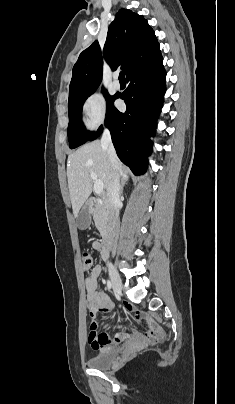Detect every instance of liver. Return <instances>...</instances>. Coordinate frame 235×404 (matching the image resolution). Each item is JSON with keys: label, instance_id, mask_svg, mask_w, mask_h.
Instances as JSON below:
<instances>
[{"label": "liver", "instance_id": "liver-1", "mask_svg": "<svg viewBox=\"0 0 235 404\" xmlns=\"http://www.w3.org/2000/svg\"><path fill=\"white\" fill-rule=\"evenodd\" d=\"M118 161L114 171L107 153L99 140L86 143L68 156L67 178L73 214L78 216L85 201L92 193L93 184L90 174L93 172L104 184L108 192L112 175L117 173L119 178L127 175L126 168Z\"/></svg>", "mask_w": 235, "mask_h": 404}]
</instances>
